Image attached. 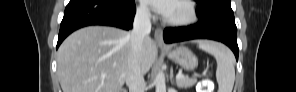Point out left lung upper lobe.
Listing matches in <instances>:
<instances>
[{"label": "left lung upper lobe", "instance_id": "left-lung-upper-lobe-1", "mask_svg": "<svg viewBox=\"0 0 296 92\" xmlns=\"http://www.w3.org/2000/svg\"><path fill=\"white\" fill-rule=\"evenodd\" d=\"M198 4L196 9L199 21L209 24L220 13H233L231 0H195Z\"/></svg>", "mask_w": 296, "mask_h": 92}]
</instances>
